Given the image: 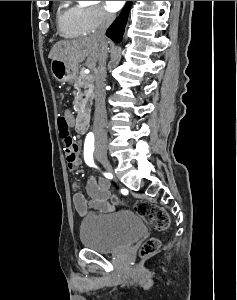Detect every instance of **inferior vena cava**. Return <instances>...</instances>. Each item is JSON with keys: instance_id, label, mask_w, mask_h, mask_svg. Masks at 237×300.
<instances>
[{"instance_id": "inferior-vena-cava-1", "label": "inferior vena cava", "mask_w": 237, "mask_h": 300, "mask_svg": "<svg viewBox=\"0 0 237 300\" xmlns=\"http://www.w3.org/2000/svg\"><path fill=\"white\" fill-rule=\"evenodd\" d=\"M115 19L114 13L103 11L102 21L97 29L94 31L92 37L100 41L101 49L98 59V69H96L95 79V111H94V133L96 139H104L106 141L107 135L104 129L106 123V107H105V81H106V61H107V43L106 31Z\"/></svg>"}]
</instances>
